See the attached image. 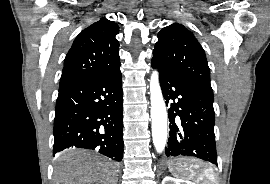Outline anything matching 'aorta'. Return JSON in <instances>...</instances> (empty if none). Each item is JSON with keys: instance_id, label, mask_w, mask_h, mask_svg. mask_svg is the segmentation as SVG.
Here are the masks:
<instances>
[{"instance_id": "1", "label": "aorta", "mask_w": 270, "mask_h": 184, "mask_svg": "<svg viewBox=\"0 0 270 184\" xmlns=\"http://www.w3.org/2000/svg\"><path fill=\"white\" fill-rule=\"evenodd\" d=\"M150 100L152 138L155 149L161 153L167 142V111L159 85L158 72L154 71L150 79Z\"/></svg>"}]
</instances>
